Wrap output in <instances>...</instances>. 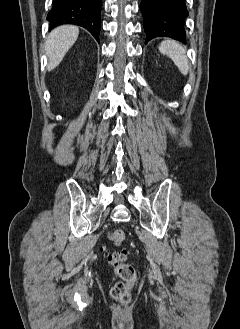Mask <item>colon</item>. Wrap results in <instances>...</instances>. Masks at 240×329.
<instances>
[{
	"label": "colon",
	"mask_w": 240,
	"mask_h": 329,
	"mask_svg": "<svg viewBox=\"0 0 240 329\" xmlns=\"http://www.w3.org/2000/svg\"><path fill=\"white\" fill-rule=\"evenodd\" d=\"M109 237L116 246H119L125 239V233L117 229L110 232ZM128 255L129 251L126 249L119 250L115 253H106L108 262L120 277V280L113 286L111 295L114 299L123 303L130 301V291L136 280V271L134 267L130 264L123 263Z\"/></svg>",
	"instance_id": "obj_1"
}]
</instances>
